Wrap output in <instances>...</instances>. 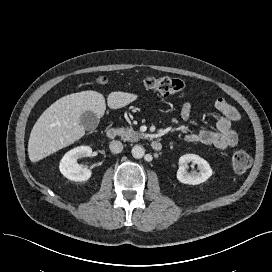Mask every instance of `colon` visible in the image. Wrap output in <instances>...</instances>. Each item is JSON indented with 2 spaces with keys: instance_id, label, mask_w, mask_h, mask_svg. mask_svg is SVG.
Segmentation results:
<instances>
[{
  "instance_id": "obj_1",
  "label": "colon",
  "mask_w": 272,
  "mask_h": 272,
  "mask_svg": "<svg viewBox=\"0 0 272 272\" xmlns=\"http://www.w3.org/2000/svg\"><path fill=\"white\" fill-rule=\"evenodd\" d=\"M100 82H103V80L100 79ZM143 84L147 90L164 96L173 95L185 89V84L182 80L169 76H150L144 79ZM250 165L251 157L247 152L239 150L233 154L232 166L235 172L243 173Z\"/></svg>"
}]
</instances>
